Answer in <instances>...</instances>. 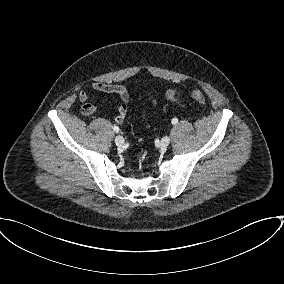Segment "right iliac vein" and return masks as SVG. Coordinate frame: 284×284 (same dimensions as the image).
Wrapping results in <instances>:
<instances>
[{
    "label": "right iliac vein",
    "instance_id": "obj_1",
    "mask_svg": "<svg viewBox=\"0 0 284 284\" xmlns=\"http://www.w3.org/2000/svg\"><path fill=\"white\" fill-rule=\"evenodd\" d=\"M124 138L121 135L115 137V143L117 146H122L124 144Z\"/></svg>",
    "mask_w": 284,
    "mask_h": 284
}]
</instances>
